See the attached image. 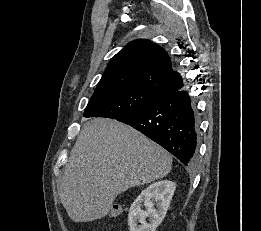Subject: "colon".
Wrapping results in <instances>:
<instances>
[{"label":"colon","mask_w":261,"mask_h":231,"mask_svg":"<svg viewBox=\"0 0 261 231\" xmlns=\"http://www.w3.org/2000/svg\"><path fill=\"white\" fill-rule=\"evenodd\" d=\"M120 213H121V211H120V209L117 208V207H111V208H109L108 211H107V214L110 215V216H112V217H117V216L120 215Z\"/></svg>","instance_id":"obj_1"}]
</instances>
